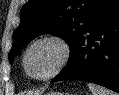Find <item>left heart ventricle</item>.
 <instances>
[{"instance_id":"obj_1","label":"left heart ventricle","mask_w":119,"mask_h":95,"mask_svg":"<svg viewBox=\"0 0 119 95\" xmlns=\"http://www.w3.org/2000/svg\"><path fill=\"white\" fill-rule=\"evenodd\" d=\"M62 56V50L55 42H42L37 44L28 56L29 71L35 76L50 74Z\"/></svg>"}]
</instances>
